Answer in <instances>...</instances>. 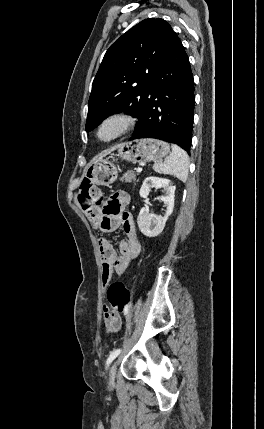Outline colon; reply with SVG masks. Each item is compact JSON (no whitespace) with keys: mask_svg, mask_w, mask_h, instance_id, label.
Masks as SVG:
<instances>
[{"mask_svg":"<svg viewBox=\"0 0 264 429\" xmlns=\"http://www.w3.org/2000/svg\"><path fill=\"white\" fill-rule=\"evenodd\" d=\"M103 191L89 180L82 183L78 200L85 212H90L103 202ZM110 311L120 314L129 306L132 290L123 282L115 281L108 286L106 293Z\"/></svg>","mask_w":264,"mask_h":429,"instance_id":"5ec220e1","label":"colon"}]
</instances>
